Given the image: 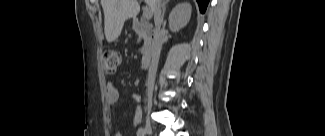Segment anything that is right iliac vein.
Returning a JSON list of instances; mask_svg holds the SVG:
<instances>
[{
  "mask_svg": "<svg viewBox=\"0 0 325 136\" xmlns=\"http://www.w3.org/2000/svg\"><path fill=\"white\" fill-rule=\"evenodd\" d=\"M145 132L148 134V135H151L152 134V125L149 121H147L146 125H145Z\"/></svg>",
  "mask_w": 325,
  "mask_h": 136,
  "instance_id": "1",
  "label": "right iliac vein"
}]
</instances>
